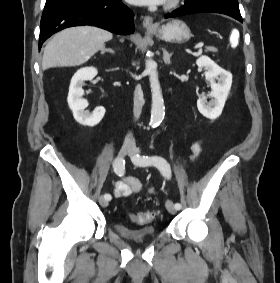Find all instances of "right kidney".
Masks as SVG:
<instances>
[{"instance_id":"right-kidney-1","label":"right kidney","mask_w":280,"mask_h":283,"mask_svg":"<svg viewBox=\"0 0 280 283\" xmlns=\"http://www.w3.org/2000/svg\"><path fill=\"white\" fill-rule=\"evenodd\" d=\"M97 75L94 67L79 69L71 79L68 93V105L73 112L74 119L83 126L93 127L97 125L105 114V108L97 107L92 113L85 111L88 102L82 98L84 90L82 86L85 81L92 80Z\"/></svg>"}]
</instances>
